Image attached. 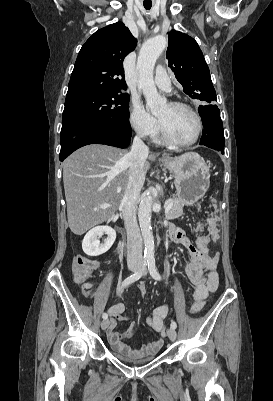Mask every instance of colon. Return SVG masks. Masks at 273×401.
Wrapping results in <instances>:
<instances>
[{
    "label": "colon",
    "instance_id": "colon-1",
    "mask_svg": "<svg viewBox=\"0 0 273 401\" xmlns=\"http://www.w3.org/2000/svg\"><path fill=\"white\" fill-rule=\"evenodd\" d=\"M71 268L77 282H86L88 276H94L96 263L89 261L87 257H72ZM189 282H201L205 279V276L201 273H189L187 276ZM149 285L147 283H137L136 289L139 292V297L144 300L146 297L147 289ZM89 286H84L83 295H88Z\"/></svg>",
    "mask_w": 273,
    "mask_h": 401
}]
</instances>
